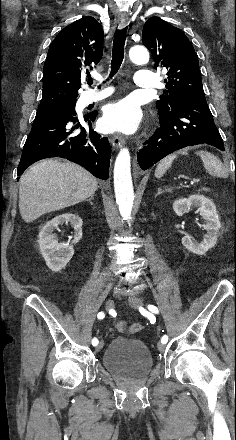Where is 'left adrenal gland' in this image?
<instances>
[{
  "label": "left adrenal gland",
  "mask_w": 236,
  "mask_h": 440,
  "mask_svg": "<svg viewBox=\"0 0 236 440\" xmlns=\"http://www.w3.org/2000/svg\"><path fill=\"white\" fill-rule=\"evenodd\" d=\"M164 192H172V189H170V188L162 189V188L159 187L156 196H158V195H160L161 193H164Z\"/></svg>",
  "instance_id": "left-adrenal-gland-1"
}]
</instances>
